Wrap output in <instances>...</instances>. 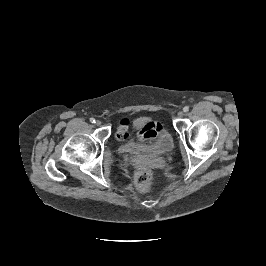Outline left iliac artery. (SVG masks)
Segmentation results:
<instances>
[{"instance_id":"1","label":"left iliac artery","mask_w":266,"mask_h":266,"mask_svg":"<svg viewBox=\"0 0 266 266\" xmlns=\"http://www.w3.org/2000/svg\"><path fill=\"white\" fill-rule=\"evenodd\" d=\"M183 111H184V112H188V111H189V107H188V106H185V107L183 108Z\"/></svg>"}]
</instances>
